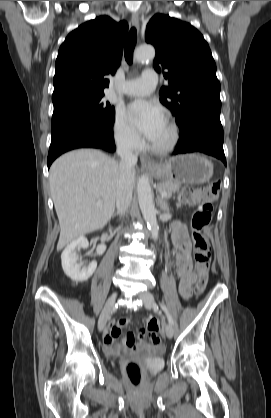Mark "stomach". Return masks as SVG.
Segmentation results:
<instances>
[{"mask_svg": "<svg viewBox=\"0 0 271 418\" xmlns=\"http://www.w3.org/2000/svg\"><path fill=\"white\" fill-rule=\"evenodd\" d=\"M151 173L163 182L203 184L211 179L213 164L200 154H185L157 164Z\"/></svg>", "mask_w": 271, "mask_h": 418, "instance_id": "stomach-1", "label": "stomach"}]
</instances>
